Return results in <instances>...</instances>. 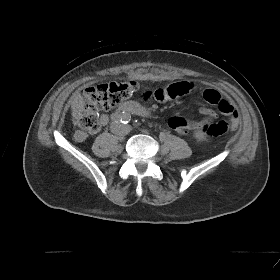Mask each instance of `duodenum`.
<instances>
[{"label": "duodenum", "instance_id": "1", "mask_svg": "<svg viewBox=\"0 0 280 280\" xmlns=\"http://www.w3.org/2000/svg\"><path fill=\"white\" fill-rule=\"evenodd\" d=\"M119 111H125L128 113H133V114H137L140 116L149 115L148 110H146L144 107H142L141 105H139L138 103L133 102V101H128V102L123 103L119 107Z\"/></svg>", "mask_w": 280, "mask_h": 280}]
</instances>
